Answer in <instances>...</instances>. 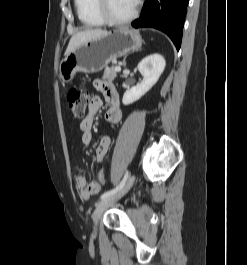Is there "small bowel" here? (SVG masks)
Wrapping results in <instances>:
<instances>
[{
  "label": "small bowel",
  "instance_id": "obj_1",
  "mask_svg": "<svg viewBox=\"0 0 247 265\" xmlns=\"http://www.w3.org/2000/svg\"><path fill=\"white\" fill-rule=\"evenodd\" d=\"M94 87L100 91L108 103V109L105 118L108 122L117 124L122 119V111L120 109L119 95L116 88L103 80H95ZM102 106V100L99 96H94L88 106L87 115L80 121L81 143L85 146L92 142V127L94 116ZM111 146V138L107 135L102 136L96 149V160L101 162L108 153ZM75 185L80 191L83 199H89L97 194L100 190V184L97 181L87 182L83 175H77Z\"/></svg>",
  "mask_w": 247,
  "mask_h": 265
}]
</instances>
